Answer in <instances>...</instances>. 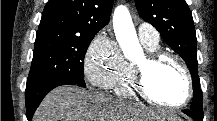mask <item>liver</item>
<instances>
[{
	"mask_svg": "<svg viewBox=\"0 0 217 121\" xmlns=\"http://www.w3.org/2000/svg\"><path fill=\"white\" fill-rule=\"evenodd\" d=\"M153 117L160 118L122 99L77 86H59L43 99L33 121H143Z\"/></svg>",
	"mask_w": 217,
	"mask_h": 121,
	"instance_id": "liver-1",
	"label": "liver"
}]
</instances>
